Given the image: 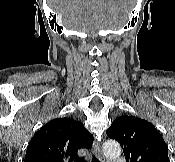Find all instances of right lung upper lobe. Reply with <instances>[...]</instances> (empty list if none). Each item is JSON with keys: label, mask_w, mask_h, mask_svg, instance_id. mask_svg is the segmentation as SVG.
Returning <instances> with one entry per match:
<instances>
[{"label": "right lung upper lobe", "mask_w": 175, "mask_h": 162, "mask_svg": "<svg viewBox=\"0 0 175 162\" xmlns=\"http://www.w3.org/2000/svg\"><path fill=\"white\" fill-rule=\"evenodd\" d=\"M93 135L73 118H57L32 137L24 162H81L79 149H89Z\"/></svg>", "instance_id": "1"}]
</instances>
